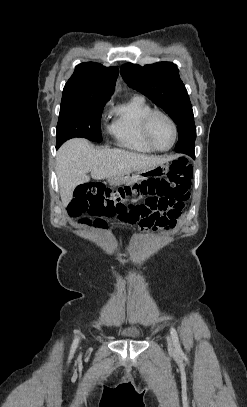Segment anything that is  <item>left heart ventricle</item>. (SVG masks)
<instances>
[{"mask_svg": "<svg viewBox=\"0 0 247 407\" xmlns=\"http://www.w3.org/2000/svg\"><path fill=\"white\" fill-rule=\"evenodd\" d=\"M150 136L157 147H169L173 140V129L169 121L162 116H155L150 123Z\"/></svg>", "mask_w": 247, "mask_h": 407, "instance_id": "1", "label": "left heart ventricle"}]
</instances>
